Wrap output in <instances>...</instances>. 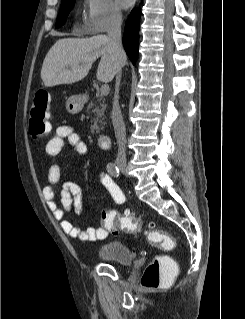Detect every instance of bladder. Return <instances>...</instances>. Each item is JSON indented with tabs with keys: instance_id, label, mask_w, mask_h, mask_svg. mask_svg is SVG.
Returning a JSON list of instances; mask_svg holds the SVG:
<instances>
[{
	"instance_id": "1",
	"label": "bladder",
	"mask_w": 245,
	"mask_h": 319,
	"mask_svg": "<svg viewBox=\"0 0 245 319\" xmlns=\"http://www.w3.org/2000/svg\"><path fill=\"white\" fill-rule=\"evenodd\" d=\"M96 256L100 261L115 262L121 265H130L134 260L131 247L122 241L112 240L101 245Z\"/></svg>"
}]
</instances>
